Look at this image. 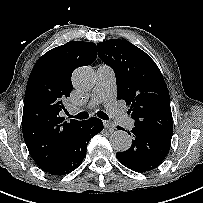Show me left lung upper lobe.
I'll return each mask as SVG.
<instances>
[{
  "instance_id": "obj_1",
  "label": "left lung upper lobe",
  "mask_w": 203,
  "mask_h": 203,
  "mask_svg": "<svg viewBox=\"0 0 203 203\" xmlns=\"http://www.w3.org/2000/svg\"><path fill=\"white\" fill-rule=\"evenodd\" d=\"M97 46L99 58L115 72L117 98L129 106L135 127L172 138L169 92L152 58L127 40L111 39Z\"/></svg>"
}]
</instances>
